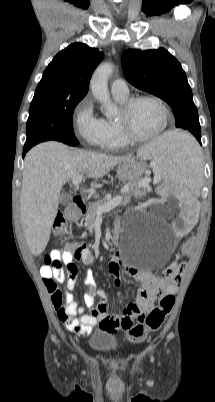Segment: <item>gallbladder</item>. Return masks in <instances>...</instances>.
<instances>
[{
  "label": "gallbladder",
  "instance_id": "obj_1",
  "mask_svg": "<svg viewBox=\"0 0 215 402\" xmlns=\"http://www.w3.org/2000/svg\"><path fill=\"white\" fill-rule=\"evenodd\" d=\"M60 204L67 205L71 202V196L68 193H62L59 198Z\"/></svg>",
  "mask_w": 215,
  "mask_h": 402
}]
</instances>
